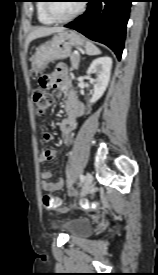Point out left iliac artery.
I'll return each instance as SVG.
<instances>
[{"label": "left iliac artery", "mask_w": 158, "mask_h": 275, "mask_svg": "<svg viewBox=\"0 0 158 275\" xmlns=\"http://www.w3.org/2000/svg\"><path fill=\"white\" fill-rule=\"evenodd\" d=\"M84 179H85L84 175L81 174V175H80V181H81V182H84Z\"/></svg>", "instance_id": "left-iliac-artery-1"}]
</instances>
